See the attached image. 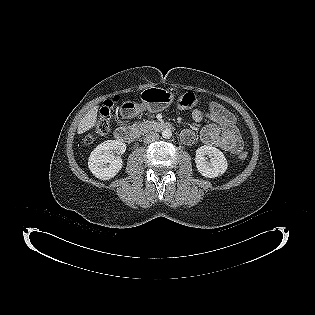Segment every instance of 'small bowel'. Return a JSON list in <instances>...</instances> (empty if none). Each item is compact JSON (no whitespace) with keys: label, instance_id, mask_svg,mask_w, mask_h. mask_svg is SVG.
Wrapping results in <instances>:
<instances>
[{"label":"small bowel","instance_id":"1","mask_svg":"<svg viewBox=\"0 0 315 315\" xmlns=\"http://www.w3.org/2000/svg\"><path fill=\"white\" fill-rule=\"evenodd\" d=\"M192 118L196 122L209 120V123L201 129L199 134V138L204 144L234 154L242 150L243 143L236 125V119L221 104L211 102L207 110L194 109ZM181 140L186 145H192L196 141V133L191 129H185L181 133Z\"/></svg>","mask_w":315,"mask_h":315}]
</instances>
